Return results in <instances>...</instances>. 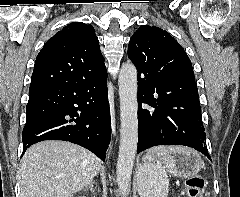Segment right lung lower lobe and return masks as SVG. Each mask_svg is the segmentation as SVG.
I'll return each instance as SVG.
<instances>
[{
  "label": "right lung lower lobe",
  "instance_id": "right-lung-lower-lobe-1",
  "mask_svg": "<svg viewBox=\"0 0 240 197\" xmlns=\"http://www.w3.org/2000/svg\"><path fill=\"white\" fill-rule=\"evenodd\" d=\"M26 114L22 155L32 144L54 139L76 143L104 161L111 135L107 72L30 88Z\"/></svg>",
  "mask_w": 240,
  "mask_h": 197
}]
</instances>
